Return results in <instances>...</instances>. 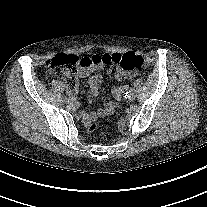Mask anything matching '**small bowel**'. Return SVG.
Here are the masks:
<instances>
[{"instance_id":"small-bowel-1","label":"small bowel","mask_w":207,"mask_h":207,"mask_svg":"<svg viewBox=\"0 0 207 207\" xmlns=\"http://www.w3.org/2000/svg\"><path fill=\"white\" fill-rule=\"evenodd\" d=\"M103 65H92L82 69L80 72L81 77H88V84L93 96H98L100 93V83L101 75L99 74L103 70ZM109 72H114L115 79L118 81L130 80L134 77L133 73L124 71L121 67L117 66L115 68H109ZM93 72H97L94 75H91ZM126 91L125 86L114 87L111 90V95L114 101L106 100L103 107L97 110L95 113H84L81 117L82 122L85 126L90 125L92 122H95L98 118H103L113 114L117 107V102L121 99L122 95ZM75 105L78 106V101L75 100Z\"/></svg>"}]
</instances>
